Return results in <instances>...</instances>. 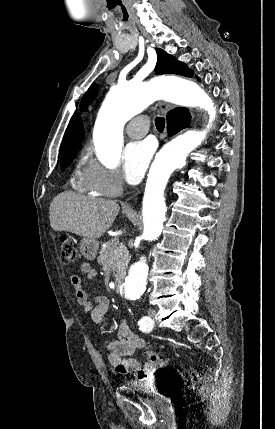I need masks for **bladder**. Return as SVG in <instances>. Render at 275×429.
Segmentation results:
<instances>
[{
    "label": "bladder",
    "instance_id": "obj_1",
    "mask_svg": "<svg viewBox=\"0 0 275 429\" xmlns=\"http://www.w3.org/2000/svg\"><path fill=\"white\" fill-rule=\"evenodd\" d=\"M176 385V377L134 378L133 393H144V398H155L156 403H171L178 398Z\"/></svg>",
    "mask_w": 275,
    "mask_h": 429
}]
</instances>
